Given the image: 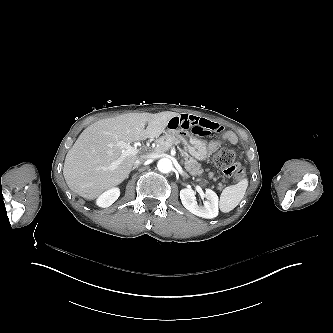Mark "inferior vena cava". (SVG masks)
<instances>
[{
    "mask_svg": "<svg viewBox=\"0 0 333 333\" xmlns=\"http://www.w3.org/2000/svg\"><path fill=\"white\" fill-rule=\"evenodd\" d=\"M148 160V158L142 157L139 160H136L134 163V166L139 167L141 166L144 162H146Z\"/></svg>",
    "mask_w": 333,
    "mask_h": 333,
    "instance_id": "inferior-vena-cava-1",
    "label": "inferior vena cava"
}]
</instances>
